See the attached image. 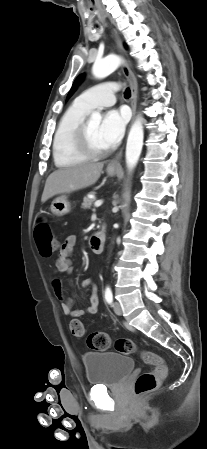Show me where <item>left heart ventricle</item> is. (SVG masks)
I'll return each instance as SVG.
<instances>
[{
  "label": "left heart ventricle",
  "instance_id": "1",
  "mask_svg": "<svg viewBox=\"0 0 207 449\" xmlns=\"http://www.w3.org/2000/svg\"><path fill=\"white\" fill-rule=\"evenodd\" d=\"M99 129V122H87L88 137L91 145L96 149H106L107 146L104 144L100 137Z\"/></svg>",
  "mask_w": 207,
  "mask_h": 449
}]
</instances>
